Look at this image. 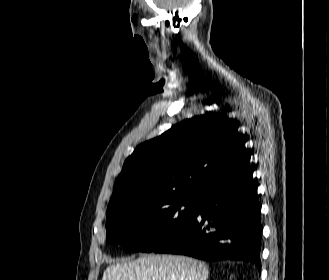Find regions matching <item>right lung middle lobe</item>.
I'll list each match as a JSON object with an SVG mask.
<instances>
[{
	"label": "right lung middle lobe",
	"instance_id": "right-lung-middle-lobe-1",
	"mask_svg": "<svg viewBox=\"0 0 329 280\" xmlns=\"http://www.w3.org/2000/svg\"><path fill=\"white\" fill-rule=\"evenodd\" d=\"M198 203V197L147 196L109 207L107 240L131 252H151L186 225Z\"/></svg>",
	"mask_w": 329,
	"mask_h": 280
}]
</instances>
